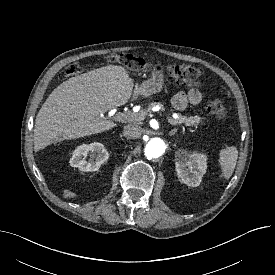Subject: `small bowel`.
<instances>
[{
    "instance_id": "obj_1",
    "label": "small bowel",
    "mask_w": 275,
    "mask_h": 275,
    "mask_svg": "<svg viewBox=\"0 0 275 275\" xmlns=\"http://www.w3.org/2000/svg\"><path fill=\"white\" fill-rule=\"evenodd\" d=\"M203 94L197 86L190 88L187 92H179L173 97V106L178 110H183L187 104H198L202 101Z\"/></svg>"
}]
</instances>
